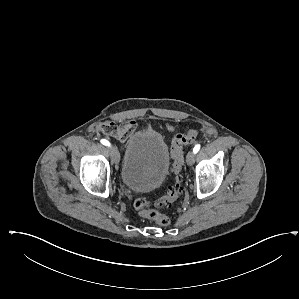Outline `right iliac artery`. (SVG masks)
Wrapping results in <instances>:
<instances>
[{"label": "right iliac artery", "mask_w": 299, "mask_h": 299, "mask_svg": "<svg viewBox=\"0 0 299 299\" xmlns=\"http://www.w3.org/2000/svg\"><path fill=\"white\" fill-rule=\"evenodd\" d=\"M100 142L105 146H108V147L110 146V142L106 139H101Z\"/></svg>", "instance_id": "82829eb1"}]
</instances>
